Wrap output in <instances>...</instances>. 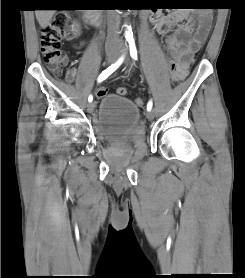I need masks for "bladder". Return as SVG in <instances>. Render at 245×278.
Wrapping results in <instances>:
<instances>
[{
	"label": "bladder",
	"mask_w": 245,
	"mask_h": 278,
	"mask_svg": "<svg viewBox=\"0 0 245 278\" xmlns=\"http://www.w3.org/2000/svg\"><path fill=\"white\" fill-rule=\"evenodd\" d=\"M94 129L98 140L109 145L134 146L145 139L139 108L128 98L114 93L102 97Z\"/></svg>",
	"instance_id": "1"
}]
</instances>
